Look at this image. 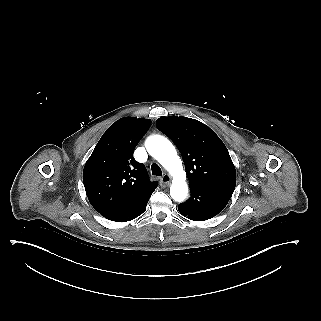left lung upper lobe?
Listing matches in <instances>:
<instances>
[{
  "label": "left lung upper lobe",
  "mask_w": 321,
  "mask_h": 321,
  "mask_svg": "<svg viewBox=\"0 0 321 321\" xmlns=\"http://www.w3.org/2000/svg\"><path fill=\"white\" fill-rule=\"evenodd\" d=\"M156 125L180 150L190 186L236 182V170L229 152L208 126L178 116L159 118Z\"/></svg>",
  "instance_id": "left-lung-upper-lobe-1"
}]
</instances>
